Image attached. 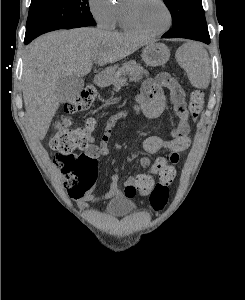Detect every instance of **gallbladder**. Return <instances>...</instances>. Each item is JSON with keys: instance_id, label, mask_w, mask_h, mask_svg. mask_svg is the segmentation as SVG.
<instances>
[{"instance_id": "bac80fb5", "label": "gallbladder", "mask_w": 245, "mask_h": 300, "mask_svg": "<svg viewBox=\"0 0 245 300\" xmlns=\"http://www.w3.org/2000/svg\"><path fill=\"white\" fill-rule=\"evenodd\" d=\"M84 86V79L75 75L62 78L57 83L56 94L62 103L76 99Z\"/></svg>"}]
</instances>
